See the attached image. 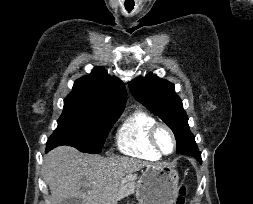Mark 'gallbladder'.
I'll use <instances>...</instances> for the list:
<instances>
[{
	"label": "gallbladder",
	"instance_id": "1",
	"mask_svg": "<svg viewBox=\"0 0 253 204\" xmlns=\"http://www.w3.org/2000/svg\"><path fill=\"white\" fill-rule=\"evenodd\" d=\"M61 204H82V202L80 197H75L65 200Z\"/></svg>",
	"mask_w": 253,
	"mask_h": 204
}]
</instances>
